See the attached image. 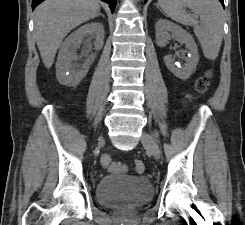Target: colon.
Instances as JSON below:
<instances>
[{
  "label": "colon",
  "mask_w": 245,
  "mask_h": 225,
  "mask_svg": "<svg viewBox=\"0 0 245 225\" xmlns=\"http://www.w3.org/2000/svg\"><path fill=\"white\" fill-rule=\"evenodd\" d=\"M209 77L210 72H207L204 77L200 78L196 83V93L203 94L209 88ZM188 98L192 97V94L187 96ZM102 165L105 169L109 171L118 170L121 168V165L115 161H113L108 155H104L102 157ZM131 168L135 173H142L145 169L144 163L140 160H134L131 164Z\"/></svg>",
  "instance_id": "5ec220e1"
}]
</instances>
